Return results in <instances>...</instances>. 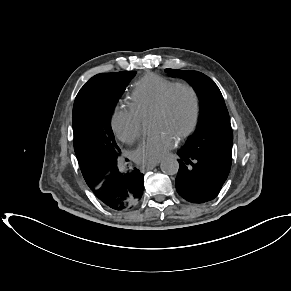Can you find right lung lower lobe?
<instances>
[{
  "instance_id": "98d812e1",
  "label": "right lung lower lobe",
  "mask_w": 291,
  "mask_h": 291,
  "mask_svg": "<svg viewBox=\"0 0 291 291\" xmlns=\"http://www.w3.org/2000/svg\"><path fill=\"white\" fill-rule=\"evenodd\" d=\"M81 167V166H80ZM84 179L89 175L99 187L92 190L107 207L115 211H125L134 207L143 194L144 175L136 168L126 173L118 169L117 162L82 166Z\"/></svg>"
}]
</instances>
